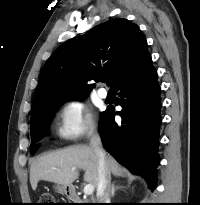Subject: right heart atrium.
Masks as SVG:
<instances>
[{
    "mask_svg": "<svg viewBox=\"0 0 200 205\" xmlns=\"http://www.w3.org/2000/svg\"><path fill=\"white\" fill-rule=\"evenodd\" d=\"M57 134L67 142H75L92 134L95 121L91 111L80 100L64 102L58 111Z\"/></svg>",
    "mask_w": 200,
    "mask_h": 205,
    "instance_id": "obj_1",
    "label": "right heart atrium"
}]
</instances>
